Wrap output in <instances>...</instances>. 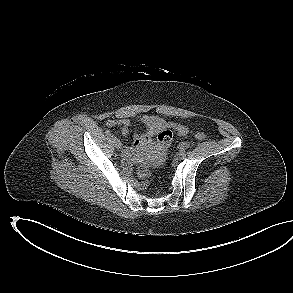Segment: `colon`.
I'll return each mask as SVG.
<instances>
[{
	"mask_svg": "<svg viewBox=\"0 0 293 293\" xmlns=\"http://www.w3.org/2000/svg\"><path fill=\"white\" fill-rule=\"evenodd\" d=\"M194 137L197 140L202 141L206 138V134L204 132H195ZM157 138H158L159 147L161 149H166L170 146L172 142L173 133L170 129H164L158 133ZM138 174L143 180V186L146 187L148 185V180L151 176L150 170L146 166H141L139 168Z\"/></svg>",
	"mask_w": 293,
	"mask_h": 293,
	"instance_id": "1",
	"label": "colon"
}]
</instances>
